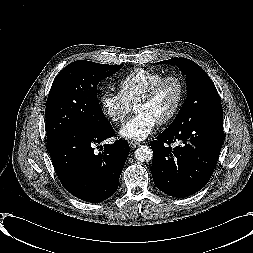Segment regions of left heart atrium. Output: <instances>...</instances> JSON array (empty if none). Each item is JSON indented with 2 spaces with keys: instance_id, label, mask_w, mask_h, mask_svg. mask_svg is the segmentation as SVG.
<instances>
[{
  "instance_id": "1",
  "label": "left heart atrium",
  "mask_w": 253,
  "mask_h": 253,
  "mask_svg": "<svg viewBox=\"0 0 253 253\" xmlns=\"http://www.w3.org/2000/svg\"><path fill=\"white\" fill-rule=\"evenodd\" d=\"M158 122L147 114L139 113L132 117L120 130L121 137L131 140L147 138Z\"/></svg>"
}]
</instances>
